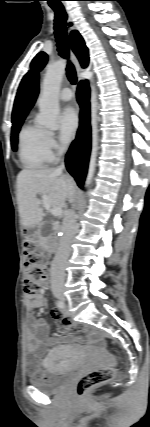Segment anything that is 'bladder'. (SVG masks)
<instances>
[{"mask_svg":"<svg viewBox=\"0 0 150 427\" xmlns=\"http://www.w3.org/2000/svg\"><path fill=\"white\" fill-rule=\"evenodd\" d=\"M74 371L75 368L72 366L65 368L48 366L45 377L40 380L33 379L31 384L43 393L56 394L66 386Z\"/></svg>","mask_w":150,"mask_h":427,"instance_id":"bladder-1","label":"bladder"}]
</instances>
